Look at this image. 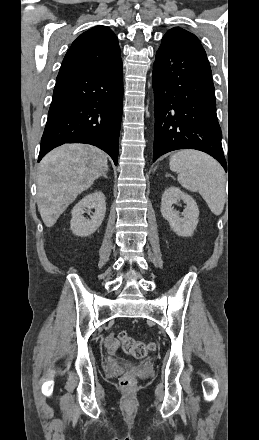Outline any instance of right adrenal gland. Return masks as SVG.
<instances>
[{"label": "right adrenal gland", "instance_id": "2a0ac1e0", "mask_svg": "<svg viewBox=\"0 0 259 440\" xmlns=\"http://www.w3.org/2000/svg\"><path fill=\"white\" fill-rule=\"evenodd\" d=\"M102 176H103L104 178H108V177H107V172L103 173Z\"/></svg>", "mask_w": 259, "mask_h": 440}]
</instances>
